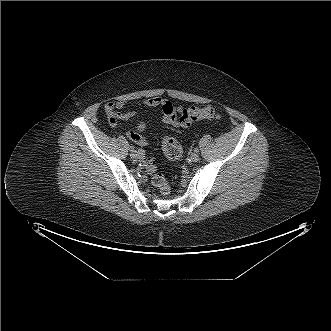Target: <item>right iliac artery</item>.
Segmentation results:
<instances>
[{
    "label": "right iliac artery",
    "mask_w": 331,
    "mask_h": 331,
    "mask_svg": "<svg viewBox=\"0 0 331 331\" xmlns=\"http://www.w3.org/2000/svg\"><path fill=\"white\" fill-rule=\"evenodd\" d=\"M129 149H130L131 152L136 151L135 148H134V146H130Z\"/></svg>",
    "instance_id": "obj_1"
}]
</instances>
